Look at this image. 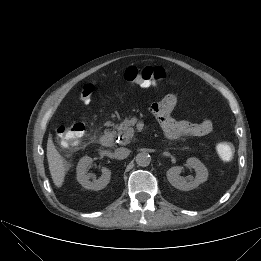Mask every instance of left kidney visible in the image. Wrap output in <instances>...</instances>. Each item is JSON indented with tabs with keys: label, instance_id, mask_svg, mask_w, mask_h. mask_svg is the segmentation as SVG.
Returning <instances> with one entry per match:
<instances>
[{
	"label": "left kidney",
	"instance_id": "obj_1",
	"mask_svg": "<svg viewBox=\"0 0 261 261\" xmlns=\"http://www.w3.org/2000/svg\"><path fill=\"white\" fill-rule=\"evenodd\" d=\"M186 166L195 170L196 176L194 179L189 178V180H187L180 176L183 170L182 166L171 167L166 174L170 184L182 191L192 190L205 182L208 178V170L199 159L195 157L189 158L186 162Z\"/></svg>",
	"mask_w": 261,
	"mask_h": 261
}]
</instances>
